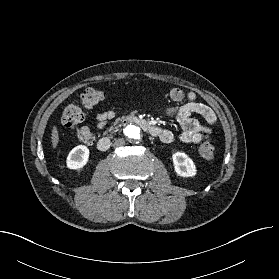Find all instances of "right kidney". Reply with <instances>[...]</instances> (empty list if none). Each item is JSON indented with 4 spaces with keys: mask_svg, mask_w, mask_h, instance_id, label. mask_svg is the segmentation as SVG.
Masks as SVG:
<instances>
[{
    "mask_svg": "<svg viewBox=\"0 0 279 279\" xmlns=\"http://www.w3.org/2000/svg\"><path fill=\"white\" fill-rule=\"evenodd\" d=\"M89 159V149L84 145L73 148L66 160L69 169L78 170L83 168Z\"/></svg>",
    "mask_w": 279,
    "mask_h": 279,
    "instance_id": "obj_1",
    "label": "right kidney"
}]
</instances>
